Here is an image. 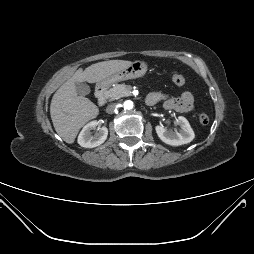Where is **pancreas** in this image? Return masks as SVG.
Here are the masks:
<instances>
[{
    "label": "pancreas",
    "mask_w": 254,
    "mask_h": 254,
    "mask_svg": "<svg viewBox=\"0 0 254 254\" xmlns=\"http://www.w3.org/2000/svg\"><path fill=\"white\" fill-rule=\"evenodd\" d=\"M130 95H131V87L125 84H115L105 93L106 98L109 99L110 101Z\"/></svg>",
    "instance_id": "1"
}]
</instances>
